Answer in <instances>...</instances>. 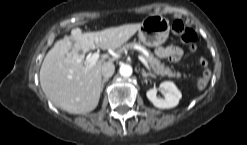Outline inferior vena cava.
Segmentation results:
<instances>
[{"mask_svg": "<svg viewBox=\"0 0 247 145\" xmlns=\"http://www.w3.org/2000/svg\"><path fill=\"white\" fill-rule=\"evenodd\" d=\"M115 66L112 62H105L102 65L101 73L104 78H109L114 74Z\"/></svg>", "mask_w": 247, "mask_h": 145, "instance_id": "1", "label": "inferior vena cava"}]
</instances>
